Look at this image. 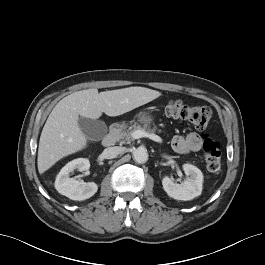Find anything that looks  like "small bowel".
I'll return each mask as SVG.
<instances>
[{
    "mask_svg": "<svg viewBox=\"0 0 265 265\" xmlns=\"http://www.w3.org/2000/svg\"><path fill=\"white\" fill-rule=\"evenodd\" d=\"M203 146V140L200 135L190 133L186 136H175L172 140L174 151L180 154L200 151Z\"/></svg>",
    "mask_w": 265,
    "mask_h": 265,
    "instance_id": "small-bowel-1",
    "label": "small bowel"
}]
</instances>
